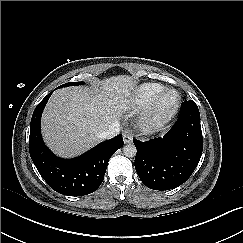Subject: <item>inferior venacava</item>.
I'll use <instances>...</instances> for the list:
<instances>
[{"label": "inferior vena cava", "instance_id": "obj_1", "mask_svg": "<svg viewBox=\"0 0 243 243\" xmlns=\"http://www.w3.org/2000/svg\"><path fill=\"white\" fill-rule=\"evenodd\" d=\"M120 132V124L119 122L112 123L110 127L105 131L98 135L100 139H110L115 137Z\"/></svg>", "mask_w": 243, "mask_h": 243}]
</instances>
